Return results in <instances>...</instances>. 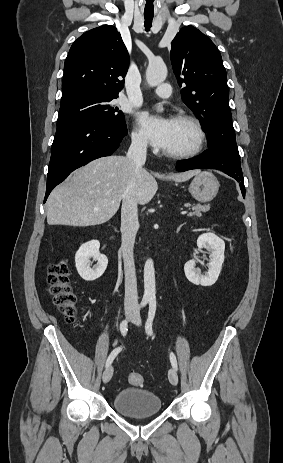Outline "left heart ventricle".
I'll list each match as a JSON object with an SVG mask.
<instances>
[{
    "label": "left heart ventricle",
    "mask_w": 283,
    "mask_h": 463,
    "mask_svg": "<svg viewBox=\"0 0 283 463\" xmlns=\"http://www.w3.org/2000/svg\"><path fill=\"white\" fill-rule=\"evenodd\" d=\"M196 141L194 130L188 124L173 120V128L167 152H181L192 148Z\"/></svg>",
    "instance_id": "b2bd125f"
}]
</instances>
